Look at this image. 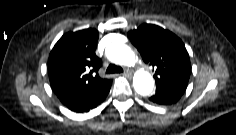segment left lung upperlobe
<instances>
[{
	"mask_svg": "<svg viewBox=\"0 0 236 135\" xmlns=\"http://www.w3.org/2000/svg\"><path fill=\"white\" fill-rule=\"evenodd\" d=\"M143 60L155 69L156 86L188 83L191 65L183 42L157 25L143 24L128 32Z\"/></svg>",
	"mask_w": 236,
	"mask_h": 135,
	"instance_id": "left-lung-upper-lobe-1",
	"label": "left lung upper lobe"
}]
</instances>
